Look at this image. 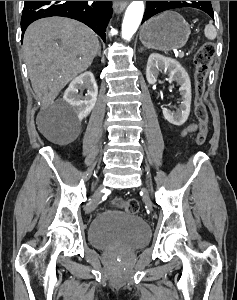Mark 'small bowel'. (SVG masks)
<instances>
[{"label":"small bowel","mask_w":237,"mask_h":300,"mask_svg":"<svg viewBox=\"0 0 237 300\" xmlns=\"http://www.w3.org/2000/svg\"><path fill=\"white\" fill-rule=\"evenodd\" d=\"M196 129H197L196 124H190L182 131V135H186L188 133L194 132L196 131Z\"/></svg>","instance_id":"obj_1"}]
</instances>
